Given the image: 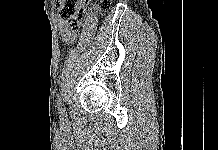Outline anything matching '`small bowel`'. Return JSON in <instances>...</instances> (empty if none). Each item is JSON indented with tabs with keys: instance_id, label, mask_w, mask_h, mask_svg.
Here are the masks:
<instances>
[{
	"instance_id": "1",
	"label": "small bowel",
	"mask_w": 218,
	"mask_h": 150,
	"mask_svg": "<svg viewBox=\"0 0 218 150\" xmlns=\"http://www.w3.org/2000/svg\"><path fill=\"white\" fill-rule=\"evenodd\" d=\"M60 40L63 45H69L75 40V33L70 29L69 25L65 21L59 23Z\"/></svg>"
}]
</instances>
